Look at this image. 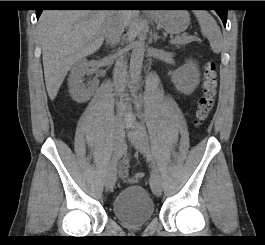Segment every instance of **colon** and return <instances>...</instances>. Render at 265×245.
Listing matches in <instances>:
<instances>
[{"label":"colon","mask_w":265,"mask_h":245,"mask_svg":"<svg viewBox=\"0 0 265 245\" xmlns=\"http://www.w3.org/2000/svg\"><path fill=\"white\" fill-rule=\"evenodd\" d=\"M217 90L218 79L216 73V63L214 61H207L203 66L202 92L197 104L195 115L196 124L203 123L214 110ZM143 177V173H135L132 176V182L138 183L143 179Z\"/></svg>","instance_id":"5ec220e1"}]
</instances>
